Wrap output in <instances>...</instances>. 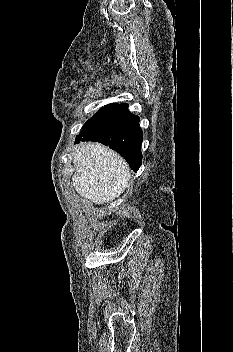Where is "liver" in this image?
<instances>
[{
    "label": "liver",
    "instance_id": "6515ba94",
    "mask_svg": "<svg viewBox=\"0 0 233 352\" xmlns=\"http://www.w3.org/2000/svg\"><path fill=\"white\" fill-rule=\"evenodd\" d=\"M76 173L72 178L77 193L95 204L109 203L121 195L130 178L126 161L99 143H83L74 154Z\"/></svg>",
    "mask_w": 233,
    "mask_h": 352
}]
</instances>
